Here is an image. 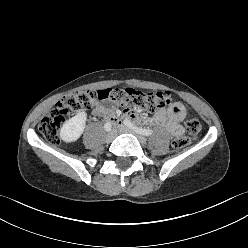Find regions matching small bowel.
<instances>
[{
	"instance_id": "small-bowel-1",
	"label": "small bowel",
	"mask_w": 248,
	"mask_h": 248,
	"mask_svg": "<svg viewBox=\"0 0 248 248\" xmlns=\"http://www.w3.org/2000/svg\"><path fill=\"white\" fill-rule=\"evenodd\" d=\"M93 113L101 118H107L113 125H119L121 123L115 115V104L110 99H101L96 102ZM126 114L128 118L135 121L162 125L166 131L174 137H179L184 133L181 122L185 118L186 109L180 102L173 103L168 108L158 110L155 115L149 119L139 117L128 109L126 110Z\"/></svg>"
}]
</instances>
